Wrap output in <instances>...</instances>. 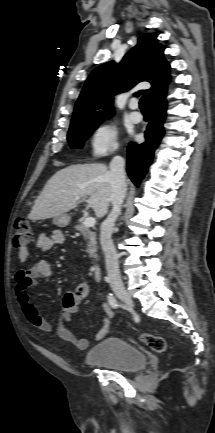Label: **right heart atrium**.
Listing matches in <instances>:
<instances>
[{
    "instance_id": "d8ad5b80",
    "label": "right heart atrium",
    "mask_w": 215,
    "mask_h": 433,
    "mask_svg": "<svg viewBox=\"0 0 215 433\" xmlns=\"http://www.w3.org/2000/svg\"><path fill=\"white\" fill-rule=\"evenodd\" d=\"M118 148L117 129L112 124L99 126L90 139V149L94 156H103Z\"/></svg>"
}]
</instances>
